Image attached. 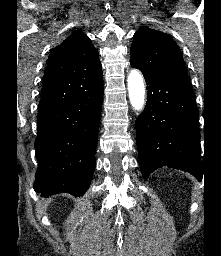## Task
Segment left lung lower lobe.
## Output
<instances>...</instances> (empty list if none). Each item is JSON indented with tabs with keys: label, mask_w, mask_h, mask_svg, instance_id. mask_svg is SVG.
Returning <instances> with one entry per match:
<instances>
[{
	"label": "left lung lower lobe",
	"mask_w": 221,
	"mask_h": 256,
	"mask_svg": "<svg viewBox=\"0 0 221 256\" xmlns=\"http://www.w3.org/2000/svg\"><path fill=\"white\" fill-rule=\"evenodd\" d=\"M145 80L147 102L136 120L143 178L158 168L170 167L201 180L198 109L190 82L158 77Z\"/></svg>",
	"instance_id": "obj_1"
}]
</instances>
